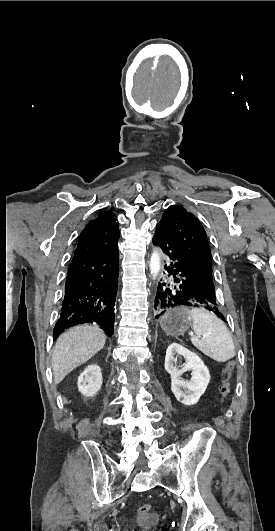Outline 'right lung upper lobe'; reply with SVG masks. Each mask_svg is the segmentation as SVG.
Returning a JSON list of instances; mask_svg holds the SVG:
<instances>
[{
	"label": "right lung upper lobe",
	"instance_id": "right-lung-upper-lobe-1",
	"mask_svg": "<svg viewBox=\"0 0 275 531\" xmlns=\"http://www.w3.org/2000/svg\"><path fill=\"white\" fill-rule=\"evenodd\" d=\"M118 225L119 223L117 222V219L114 217L113 213L102 212L95 220L90 221L86 225L80 234L79 241L93 235L119 231Z\"/></svg>",
	"mask_w": 275,
	"mask_h": 531
}]
</instances>
